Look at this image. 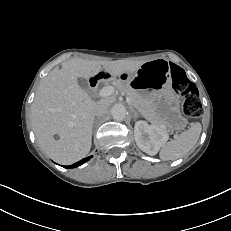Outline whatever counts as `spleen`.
I'll use <instances>...</instances> for the list:
<instances>
[{
    "mask_svg": "<svg viewBox=\"0 0 231 231\" xmlns=\"http://www.w3.org/2000/svg\"><path fill=\"white\" fill-rule=\"evenodd\" d=\"M201 130V124L194 123L176 139L164 143L159 153L160 158L162 160H175L187 154L197 143Z\"/></svg>",
    "mask_w": 231,
    "mask_h": 231,
    "instance_id": "spleen-1",
    "label": "spleen"
}]
</instances>
